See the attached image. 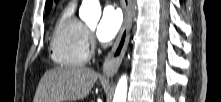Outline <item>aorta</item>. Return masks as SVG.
I'll return each instance as SVG.
<instances>
[{
    "mask_svg": "<svg viewBox=\"0 0 221 102\" xmlns=\"http://www.w3.org/2000/svg\"><path fill=\"white\" fill-rule=\"evenodd\" d=\"M79 16L84 21H98L101 16L99 0H83ZM128 82L127 76L122 75L118 81L113 102H126Z\"/></svg>",
    "mask_w": 221,
    "mask_h": 102,
    "instance_id": "aorta-1",
    "label": "aorta"
}]
</instances>
